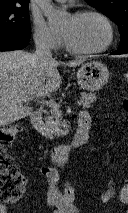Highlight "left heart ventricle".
Segmentation results:
<instances>
[{"mask_svg": "<svg viewBox=\"0 0 128 213\" xmlns=\"http://www.w3.org/2000/svg\"><path fill=\"white\" fill-rule=\"evenodd\" d=\"M61 32L74 47L85 50L101 47L108 37L105 23L96 16L70 17Z\"/></svg>", "mask_w": 128, "mask_h": 213, "instance_id": "left-heart-ventricle-1", "label": "left heart ventricle"}]
</instances>
